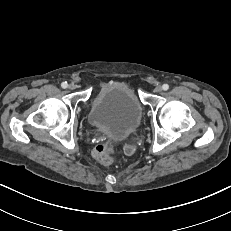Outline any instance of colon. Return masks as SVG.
Instances as JSON below:
<instances>
[{"instance_id": "1", "label": "colon", "mask_w": 231, "mask_h": 231, "mask_svg": "<svg viewBox=\"0 0 231 231\" xmlns=\"http://www.w3.org/2000/svg\"><path fill=\"white\" fill-rule=\"evenodd\" d=\"M135 148L133 145H126L124 151L132 154ZM115 147L110 139H102L93 149V157L102 164H108L115 156Z\"/></svg>"}]
</instances>
